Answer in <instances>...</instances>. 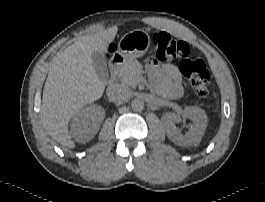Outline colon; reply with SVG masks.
Returning a JSON list of instances; mask_svg holds the SVG:
<instances>
[{"mask_svg": "<svg viewBox=\"0 0 265 202\" xmlns=\"http://www.w3.org/2000/svg\"><path fill=\"white\" fill-rule=\"evenodd\" d=\"M153 53L158 62L180 59L179 70L185 76L195 93L205 98L210 93V76L205 63L191 59L187 42L172 37L165 31L157 32L152 38Z\"/></svg>", "mask_w": 265, "mask_h": 202, "instance_id": "1", "label": "colon"}]
</instances>
